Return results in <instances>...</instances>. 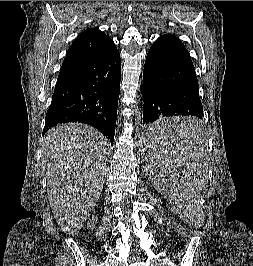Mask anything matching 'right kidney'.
Here are the masks:
<instances>
[{
    "mask_svg": "<svg viewBox=\"0 0 253 266\" xmlns=\"http://www.w3.org/2000/svg\"><path fill=\"white\" fill-rule=\"evenodd\" d=\"M96 223H97V219L92 218V220H91L90 222L87 223V227H88L89 229L93 230L94 227H95V225H96Z\"/></svg>",
    "mask_w": 253,
    "mask_h": 266,
    "instance_id": "ca27d5eb",
    "label": "right kidney"
}]
</instances>
